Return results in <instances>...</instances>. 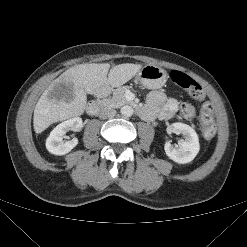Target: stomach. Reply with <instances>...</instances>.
I'll return each mask as SVG.
<instances>
[{
	"instance_id": "0dacf381",
	"label": "stomach",
	"mask_w": 247,
	"mask_h": 247,
	"mask_svg": "<svg viewBox=\"0 0 247 247\" xmlns=\"http://www.w3.org/2000/svg\"><path fill=\"white\" fill-rule=\"evenodd\" d=\"M136 80L146 88L157 89L165 84L167 73L158 66L146 65L137 73Z\"/></svg>"
}]
</instances>
